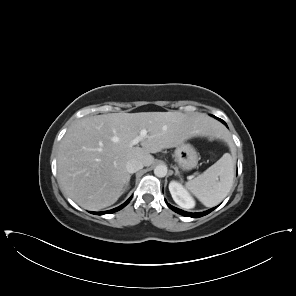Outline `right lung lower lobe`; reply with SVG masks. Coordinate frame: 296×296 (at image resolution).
I'll return each instance as SVG.
<instances>
[{
    "mask_svg": "<svg viewBox=\"0 0 296 296\" xmlns=\"http://www.w3.org/2000/svg\"><path fill=\"white\" fill-rule=\"evenodd\" d=\"M131 198H132V197H130V198H129L124 204H122L121 206H119V207H117V208H114V209H112V210L104 211V212H92V213H94V214H96V215H102V214H109V213L116 212V211L122 209L124 206H126V205L129 203V201L131 200Z\"/></svg>",
    "mask_w": 296,
    "mask_h": 296,
    "instance_id": "1",
    "label": "right lung lower lobe"
}]
</instances>
